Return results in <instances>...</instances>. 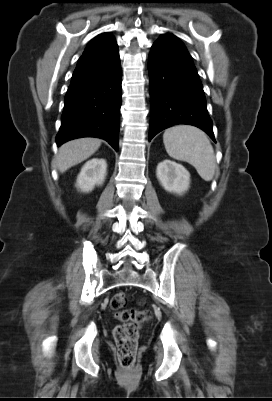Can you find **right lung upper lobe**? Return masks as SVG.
I'll return each mask as SVG.
<instances>
[{"label":"right lung upper lobe","mask_w":272,"mask_h":401,"mask_svg":"<svg viewBox=\"0 0 272 401\" xmlns=\"http://www.w3.org/2000/svg\"><path fill=\"white\" fill-rule=\"evenodd\" d=\"M116 44L115 38L109 33H102L95 37L86 47L77 66L83 65L101 56Z\"/></svg>","instance_id":"cb5924a9"}]
</instances>
